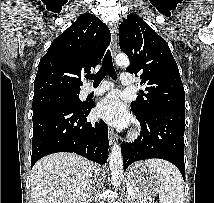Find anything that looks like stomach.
Here are the masks:
<instances>
[{
    "label": "stomach",
    "instance_id": "stomach-1",
    "mask_svg": "<svg viewBox=\"0 0 214 203\" xmlns=\"http://www.w3.org/2000/svg\"><path fill=\"white\" fill-rule=\"evenodd\" d=\"M127 179L134 192L142 198H150L160 192L161 177L141 162L129 168Z\"/></svg>",
    "mask_w": 214,
    "mask_h": 203
}]
</instances>
